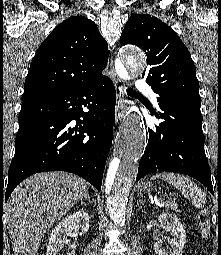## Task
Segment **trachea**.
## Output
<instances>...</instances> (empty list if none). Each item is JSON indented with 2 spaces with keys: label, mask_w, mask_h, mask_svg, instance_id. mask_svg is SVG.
<instances>
[{
  "label": "trachea",
  "mask_w": 221,
  "mask_h": 255,
  "mask_svg": "<svg viewBox=\"0 0 221 255\" xmlns=\"http://www.w3.org/2000/svg\"><path fill=\"white\" fill-rule=\"evenodd\" d=\"M127 92L130 94L139 95L138 93H136L135 91H133L131 89H127Z\"/></svg>",
  "instance_id": "obj_1"
}]
</instances>
